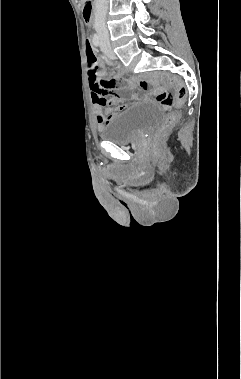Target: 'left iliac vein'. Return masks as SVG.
Segmentation results:
<instances>
[{
    "instance_id": "1",
    "label": "left iliac vein",
    "mask_w": 241,
    "mask_h": 379,
    "mask_svg": "<svg viewBox=\"0 0 241 379\" xmlns=\"http://www.w3.org/2000/svg\"><path fill=\"white\" fill-rule=\"evenodd\" d=\"M101 49H102V51L104 52V54H105L108 58H110V59H115V58H116L114 52L112 51V49L110 48L109 45H107V44H105V43H102V44H101Z\"/></svg>"
}]
</instances>
